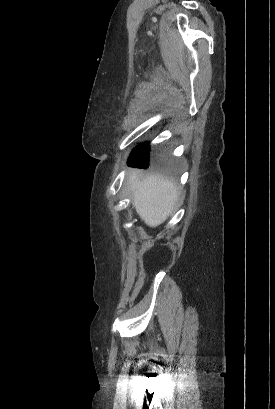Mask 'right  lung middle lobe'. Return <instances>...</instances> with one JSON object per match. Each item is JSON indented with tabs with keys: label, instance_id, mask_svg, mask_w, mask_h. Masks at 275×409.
Segmentation results:
<instances>
[{
	"label": "right lung middle lobe",
	"instance_id": "1",
	"mask_svg": "<svg viewBox=\"0 0 275 409\" xmlns=\"http://www.w3.org/2000/svg\"><path fill=\"white\" fill-rule=\"evenodd\" d=\"M149 145L142 143L135 147L128 159L130 166L141 167V171L146 173L147 177L176 178L178 170L177 164H165L168 162L167 155L160 153L155 156L156 164H149Z\"/></svg>",
	"mask_w": 275,
	"mask_h": 409
}]
</instances>
